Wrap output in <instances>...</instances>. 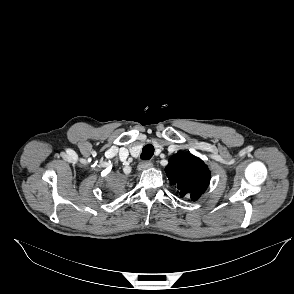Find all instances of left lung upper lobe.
Here are the masks:
<instances>
[{"label": "left lung upper lobe", "mask_w": 294, "mask_h": 294, "mask_svg": "<svg viewBox=\"0 0 294 294\" xmlns=\"http://www.w3.org/2000/svg\"><path fill=\"white\" fill-rule=\"evenodd\" d=\"M165 171L180 196L190 197L193 201L205 192L210 182L211 174L204 162L184 152L172 156Z\"/></svg>", "instance_id": "left-lung-upper-lobe-1"}]
</instances>
